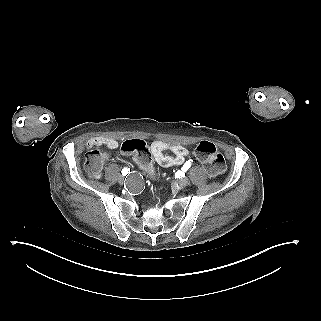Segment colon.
<instances>
[{
	"mask_svg": "<svg viewBox=\"0 0 321 321\" xmlns=\"http://www.w3.org/2000/svg\"><path fill=\"white\" fill-rule=\"evenodd\" d=\"M121 150L125 153L134 154L138 164L150 175L155 172L151 165L150 152L144 141L139 139L126 140L122 143ZM196 158L202 163L210 176H217L224 172L226 163L224 156L210 141H201L195 149ZM103 165V154L97 149H91L87 153L85 169L91 176H97Z\"/></svg>",
	"mask_w": 321,
	"mask_h": 321,
	"instance_id": "5ec220e1",
	"label": "colon"
}]
</instances>
